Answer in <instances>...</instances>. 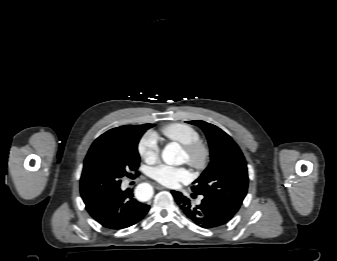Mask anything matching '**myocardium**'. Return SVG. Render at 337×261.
<instances>
[{
	"mask_svg": "<svg viewBox=\"0 0 337 261\" xmlns=\"http://www.w3.org/2000/svg\"><path fill=\"white\" fill-rule=\"evenodd\" d=\"M187 154V163L196 170H205L211 161V149L202 142L196 141L183 146Z\"/></svg>",
	"mask_w": 337,
	"mask_h": 261,
	"instance_id": "obj_1",
	"label": "myocardium"
}]
</instances>
